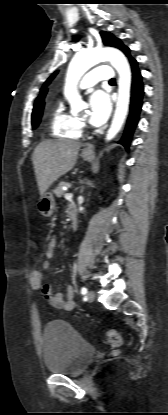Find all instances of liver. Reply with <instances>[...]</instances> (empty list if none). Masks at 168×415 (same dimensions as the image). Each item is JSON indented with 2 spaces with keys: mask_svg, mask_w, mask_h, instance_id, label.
Returning a JSON list of instances; mask_svg holds the SVG:
<instances>
[{
  "mask_svg": "<svg viewBox=\"0 0 168 415\" xmlns=\"http://www.w3.org/2000/svg\"><path fill=\"white\" fill-rule=\"evenodd\" d=\"M81 143L69 140H46L34 150L32 162L40 195L75 165Z\"/></svg>",
  "mask_w": 168,
  "mask_h": 415,
  "instance_id": "6515ba94",
  "label": "liver"
}]
</instances>
